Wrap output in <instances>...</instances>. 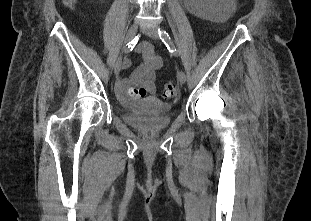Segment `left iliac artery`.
<instances>
[{"label": "left iliac artery", "instance_id": "1", "mask_svg": "<svg viewBox=\"0 0 311 221\" xmlns=\"http://www.w3.org/2000/svg\"><path fill=\"white\" fill-rule=\"evenodd\" d=\"M159 37L162 40V42L165 44L167 49L175 56L178 55V50L176 49L170 35L168 32H166L164 29H159L158 30Z\"/></svg>", "mask_w": 311, "mask_h": 221}]
</instances>
